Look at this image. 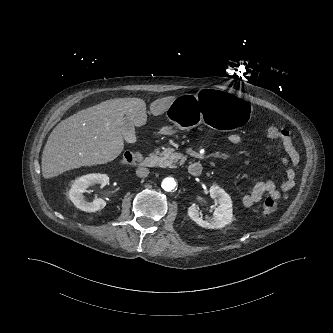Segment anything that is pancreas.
Returning a JSON list of instances; mask_svg holds the SVG:
<instances>
[{
  "instance_id": "obj_1",
  "label": "pancreas",
  "mask_w": 333,
  "mask_h": 333,
  "mask_svg": "<svg viewBox=\"0 0 333 333\" xmlns=\"http://www.w3.org/2000/svg\"><path fill=\"white\" fill-rule=\"evenodd\" d=\"M155 153L160 156V165L163 167H172L176 164H183L186 159L182 154L176 153L174 148H165L161 152L159 149H156ZM179 159L181 160L179 161Z\"/></svg>"
}]
</instances>
